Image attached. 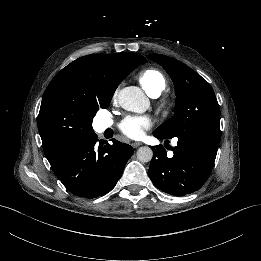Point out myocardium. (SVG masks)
<instances>
[{"instance_id": "obj_1", "label": "myocardium", "mask_w": 261, "mask_h": 261, "mask_svg": "<svg viewBox=\"0 0 261 261\" xmlns=\"http://www.w3.org/2000/svg\"><path fill=\"white\" fill-rule=\"evenodd\" d=\"M162 108H163L164 111H167V110L169 109V104H168L167 101H164V102L162 103Z\"/></svg>"}]
</instances>
